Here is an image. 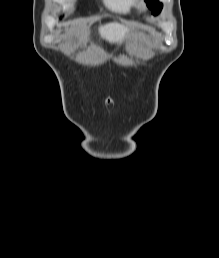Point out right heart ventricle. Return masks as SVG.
Listing matches in <instances>:
<instances>
[{"instance_id": "e07e8e85", "label": "right heart ventricle", "mask_w": 219, "mask_h": 258, "mask_svg": "<svg viewBox=\"0 0 219 258\" xmlns=\"http://www.w3.org/2000/svg\"><path fill=\"white\" fill-rule=\"evenodd\" d=\"M104 7L112 13L131 15L139 8V0H102Z\"/></svg>"}]
</instances>
